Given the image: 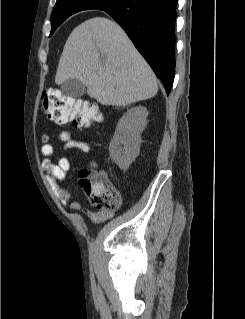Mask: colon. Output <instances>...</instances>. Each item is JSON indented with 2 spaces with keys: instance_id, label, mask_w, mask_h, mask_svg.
Masks as SVG:
<instances>
[{
  "instance_id": "obj_1",
  "label": "colon",
  "mask_w": 245,
  "mask_h": 319,
  "mask_svg": "<svg viewBox=\"0 0 245 319\" xmlns=\"http://www.w3.org/2000/svg\"><path fill=\"white\" fill-rule=\"evenodd\" d=\"M43 108L51 120L72 122L77 128H85L99 122L102 115L91 103L66 96L56 89H48L42 97ZM80 187L96 208L113 211L120 206V194L102 170L85 168L79 173Z\"/></svg>"
}]
</instances>
